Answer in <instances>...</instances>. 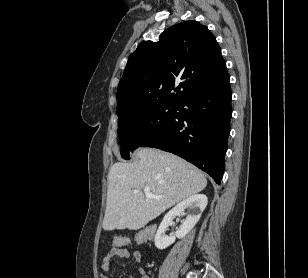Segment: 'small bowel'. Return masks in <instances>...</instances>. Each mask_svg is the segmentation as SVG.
<instances>
[{"label":"small bowel","mask_w":308,"mask_h":278,"mask_svg":"<svg viewBox=\"0 0 308 278\" xmlns=\"http://www.w3.org/2000/svg\"><path fill=\"white\" fill-rule=\"evenodd\" d=\"M130 257H133L136 263H140L142 255L139 250L130 251L126 247H115L111 249L109 253L104 257L101 264V269L104 272H108L111 266L112 259L114 258L128 259ZM139 273H140V278H150L147 272L142 267H139ZM101 278H110V277L106 274H102Z\"/></svg>","instance_id":"c3829d8e"}]
</instances>
